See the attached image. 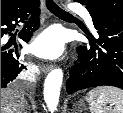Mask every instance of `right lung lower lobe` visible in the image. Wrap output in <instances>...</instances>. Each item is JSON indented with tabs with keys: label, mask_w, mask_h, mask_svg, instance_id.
I'll list each match as a JSON object with an SVG mask.
<instances>
[{
	"label": "right lung lower lobe",
	"mask_w": 123,
	"mask_h": 113,
	"mask_svg": "<svg viewBox=\"0 0 123 113\" xmlns=\"http://www.w3.org/2000/svg\"><path fill=\"white\" fill-rule=\"evenodd\" d=\"M39 0L33 1L17 10H12L7 13L1 14V38L4 34L10 33L15 28L12 23L21 22L27 13H32L31 19L27 22L25 27L19 33V37L28 42L33 31L39 27ZM9 46L1 45V88L13 81L25 68L22 63V57L18 54V47L8 50Z\"/></svg>",
	"instance_id": "1"
}]
</instances>
